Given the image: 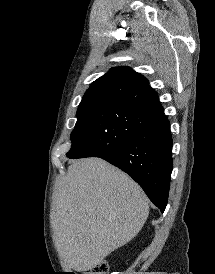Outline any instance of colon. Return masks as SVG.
Segmentation results:
<instances>
[{
    "label": "colon",
    "instance_id": "1",
    "mask_svg": "<svg viewBox=\"0 0 215 274\" xmlns=\"http://www.w3.org/2000/svg\"><path fill=\"white\" fill-rule=\"evenodd\" d=\"M108 271V263L106 261H101L97 263L91 272L88 274H106Z\"/></svg>",
    "mask_w": 215,
    "mask_h": 274
}]
</instances>
